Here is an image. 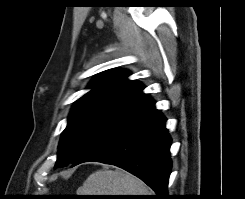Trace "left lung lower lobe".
I'll use <instances>...</instances> for the list:
<instances>
[{"mask_svg": "<svg viewBox=\"0 0 245 199\" xmlns=\"http://www.w3.org/2000/svg\"><path fill=\"white\" fill-rule=\"evenodd\" d=\"M165 123L154 100L143 94L92 138L72 166L87 161L119 166L150 186L156 199H165L172 167Z\"/></svg>", "mask_w": 245, "mask_h": 199, "instance_id": "1", "label": "left lung lower lobe"}]
</instances>
